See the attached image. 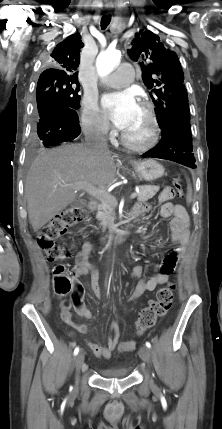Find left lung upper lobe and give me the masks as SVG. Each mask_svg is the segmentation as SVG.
Listing matches in <instances>:
<instances>
[{"mask_svg": "<svg viewBox=\"0 0 222 429\" xmlns=\"http://www.w3.org/2000/svg\"><path fill=\"white\" fill-rule=\"evenodd\" d=\"M128 50L140 62L142 78L151 89L159 127L163 130L177 121H190L187 90L177 55L164 47L159 37L149 30L139 31Z\"/></svg>", "mask_w": 222, "mask_h": 429, "instance_id": "obj_1", "label": "left lung upper lobe"}]
</instances>
